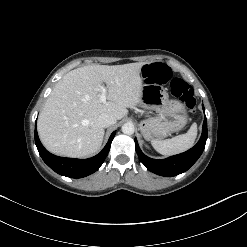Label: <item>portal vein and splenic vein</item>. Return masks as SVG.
I'll use <instances>...</instances> for the list:
<instances>
[{
    "label": "portal vein and splenic vein",
    "instance_id": "18ae733b",
    "mask_svg": "<svg viewBox=\"0 0 247 247\" xmlns=\"http://www.w3.org/2000/svg\"><path fill=\"white\" fill-rule=\"evenodd\" d=\"M101 89V95H100V97H99V100H100V102H106V99H107V97H106V89H105V87H101L100 88Z\"/></svg>",
    "mask_w": 247,
    "mask_h": 247
}]
</instances>
